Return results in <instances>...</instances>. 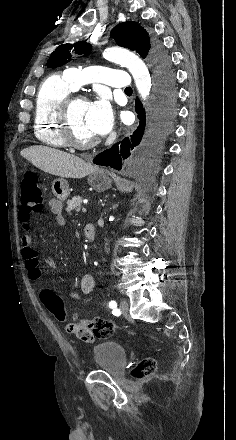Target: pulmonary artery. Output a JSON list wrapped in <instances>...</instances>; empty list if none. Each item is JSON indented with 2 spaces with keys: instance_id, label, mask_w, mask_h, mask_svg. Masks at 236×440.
I'll list each match as a JSON object with an SVG mask.
<instances>
[{
  "instance_id": "1",
  "label": "pulmonary artery",
  "mask_w": 236,
  "mask_h": 440,
  "mask_svg": "<svg viewBox=\"0 0 236 440\" xmlns=\"http://www.w3.org/2000/svg\"><path fill=\"white\" fill-rule=\"evenodd\" d=\"M64 75L74 89L93 81L124 90L132 86V82L125 71L105 66H94L84 69L72 67Z\"/></svg>"
}]
</instances>
